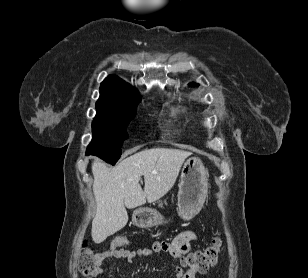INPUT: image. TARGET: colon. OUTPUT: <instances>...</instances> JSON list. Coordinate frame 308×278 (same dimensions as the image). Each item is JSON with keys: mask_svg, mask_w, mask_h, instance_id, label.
<instances>
[{"mask_svg": "<svg viewBox=\"0 0 308 278\" xmlns=\"http://www.w3.org/2000/svg\"><path fill=\"white\" fill-rule=\"evenodd\" d=\"M128 241L125 236H117L112 243L108 244L109 250H118L119 247L127 245ZM221 248L219 237L214 238L212 244L202 250L188 253L181 259V266L185 270L194 273H205L209 268L216 265ZM102 260L99 253H95L83 244L81 257L79 261V270L86 278H95L101 268Z\"/></svg>", "mask_w": 308, "mask_h": 278, "instance_id": "obj_1", "label": "colon"}]
</instances>
